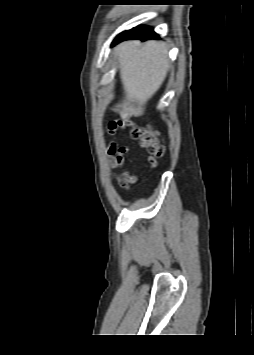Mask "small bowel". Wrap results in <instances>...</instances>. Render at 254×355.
Masks as SVG:
<instances>
[{"instance_id": "obj_1", "label": "small bowel", "mask_w": 254, "mask_h": 355, "mask_svg": "<svg viewBox=\"0 0 254 355\" xmlns=\"http://www.w3.org/2000/svg\"><path fill=\"white\" fill-rule=\"evenodd\" d=\"M113 123V126H109ZM122 120L112 121L108 124V134L112 141L106 147V154L110 167L117 171L115 175L116 181L125 189H129L131 185L137 183L142 172L153 169L157 165V161L153 157L147 158V165L138 173H130L127 168L125 155L130 152V148L126 145H119L116 141L117 131L125 129Z\"/></svg>"}]
</instances>
